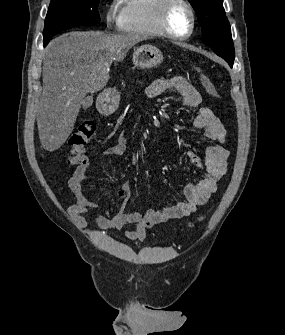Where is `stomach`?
<instances>
[{"mask_svg":"<svg viewBox=\"0 0 285 335\" xmlns=\"http://www.w3.org/2000/svg\"><path fill=\"white\" fill-rule=\"evenodd\" d=\"M164 58L162 52L155 48V46H140L135 48L132 62L138 68H156L162 64ZM119 104V92L114 88L104 90L97 100L98 110H105V112H115Z\"/></svg>","mask_w":285,"mask_h":335,"instance_id":"1","label":"stomach"}]
</instances>
